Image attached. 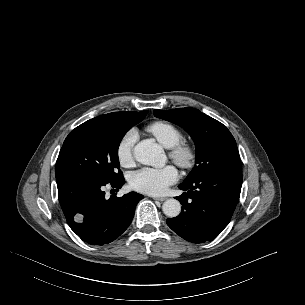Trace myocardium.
<instances>
[{"mask_svg": "<svg viewBox=\"0 0 305 305\" xmlns=\"http://www.w3.org/2000/svg\"><path fill=\"white\" fill-rule=\"evenodd\" d=\"M169 157L179 167L188 169L194 164L196 153L191 144L180 141L170 148Z\"/></svg>", "mask_w": 305, "mask_h": 305, "instance_id": "myocardium-1", "label": "myocardium"}]
</instances>
